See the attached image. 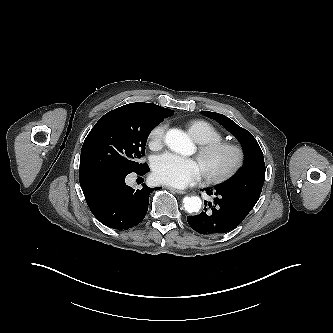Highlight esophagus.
Masks as SVG:
<instances>
[{"label": "esophagus", "instance_id": "34e87169", "mask_svg": "<svg viewBox=\"0 0 333 333\" xmlns=\"http://www.w3.org/2000/svg\"><path fill=\"white\" fill-rule=\"evenodd\" d=\"M166 188L169 189L172 192L177 193V194H185L186 193L184 190H178V189H175V188L170 187V186H167Z\"/></svg>", "mask_w": 333, "mask_h": 333}]
</instances>
